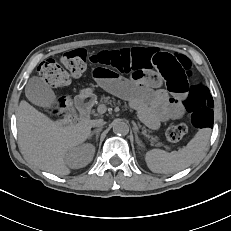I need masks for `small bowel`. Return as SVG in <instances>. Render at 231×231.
I'll list each match as a JSON object with an SVG mask.
<instances>
[{
  "mask_svg": "<svg viewBox=\"0 0 231 231\" xmlns=\"http://www.w3.org/2000/svg\"><path fill=\"white\" fill-rule=\"evenodd\" d=\"M93 77L103 90L128 100L151 125L183 116L181 102L159 88V77L155 73H149V79H127L111 69L96 67Z\"/></svg>",
  "mask_w": 231,
  "mask_h": 231,
  "instance_id": "small-bowel-1",
  "label": "small bowel"
}]
</instances>
